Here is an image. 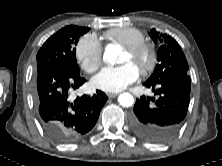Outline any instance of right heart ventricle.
<instances>
[{
  "mask_svg": "<svg viewBox=\"0 0 222 166\" xmlns=\"http://www.w3.org/2000/svg\"><path fill=\"white\" fill-rule=\"evenodd\" d=\"M105 38L124 47L145 42L144 34L132 27L113 28L105 33Z\"/></svg>",
  "mask_w": 222,
  "mask_h": 166,
  "instance_id": "obj_1",
  "label": "right heart ventricle"
}]
</instances>
